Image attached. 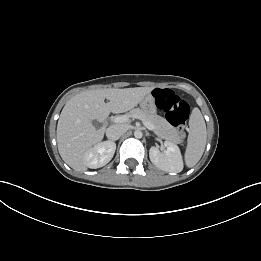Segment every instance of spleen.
Wrapping results in <instances>:
<instances>
[{
	"label": "spleen",
	"mask_w": 261,
	"mask_h": 261,
	"mask_svg": "<svg viewBox=\"0 0 261 261\" xmlns=\"http://www.w3.org/2000/svg\"><path fill=\"white\" fill-rule=\"evenodd\" d=\"M190 132L185 151L187 167L195 166L201 159L206 146V124L199 109H194L189 120Z\"/></svg>",
	"instance_id": "spleen-1"
}]
</instances>
